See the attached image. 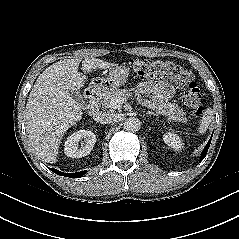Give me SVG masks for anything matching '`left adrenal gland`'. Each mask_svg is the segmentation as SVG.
I'll return each instance as SVG.
<instances>
[{
    "instance_id": "1",
    "label": "left adrenal gland",
    "mask_w": 239,
    "mask_h": 239,
    "mask_svg": "<svg viewBox=\"0 0 239 239\" xmlns=\"http://www.w3.org/2000/svg\"><path fill=\"white\" fill-rule=\"evenodd\" d=\"M146 114H147L148 116H152V115H153V116H156V117L158 118V114H155L154 112H150V111H149V112H147Z\"/></svg>"
}]
</instances>
